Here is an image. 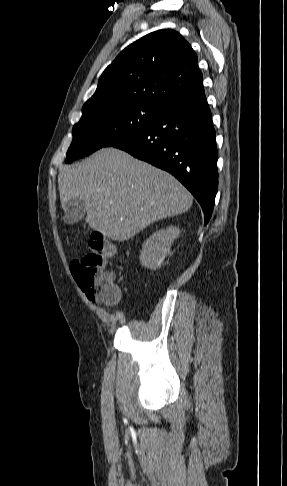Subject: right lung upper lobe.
Returning a JSON list of instances; mask_svg holds the SVG:
<instances>
[{
	"instance_id": "right-lung-upper-lobe-1",
	"label": "right lung upper lobe",
	"mask_w": 287,
	"mask_h": 486,
	"mask_svg": "<svg viewBox=\"0 0 287 486\" xmlns=\"http://www.w3.org/2000/svg\"><path fill=\"white\" fill-rule=\"evenodd\" d=\"M197 62L181 34L171 29L152 32L126 47L104 70L83 110L124 101L168 108L204 90Z\"/></svg>"
}]
</instances>
